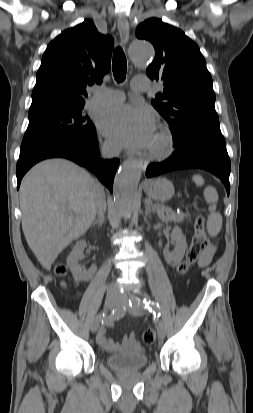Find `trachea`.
<instances>
[{"instance_id":"trachea-1","label":"trachea","mask_w":253,"mask_h":413,"mask_svg":"<svg viewBox=\"0 0 253 413\" xmlns=\"http://www.w3.org/2000/svg\"><path fill=\"white\" fill-rule=\"evenodd\" d=\"M113 75L117 83H121L126 78L127 72V61L125 54L121 47H116L114 54H113Z\"/></svg>"}]
</instances>
